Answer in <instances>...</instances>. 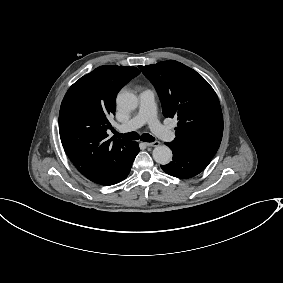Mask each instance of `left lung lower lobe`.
I'll list each match as a JSON object with an SVG mask.
<instances>
[{"label":"left lung lower lobe","instance_id":"1","mask_svg":"<svg viewBox=\"0 0 283 283\" xmlns=\"http://www.w3.org/2000/svg\"><path fill=\"white\" fill-rule=\"evenodd\" d=\"M173 152V160L161 168L167 174L177 178H191L202 172L210 163L212 158L200 155L184 148L165 143Z\"/></svg>","mask_w":283,"mask_h":283}]
</instances>
